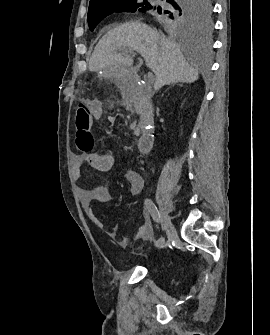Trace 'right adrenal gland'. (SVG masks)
Listing matches in <instances>:
<instances>
[{"label": "right adrenal gland", "mask_w": 270, "mask_h": 335, "mask_svg": "<svg viewBox=\"0 0 270 335\" xmlns=\"http://www.w3.org/2000/svg\"><path fill=\"white\" fill-rule=\"evenodd\" d=\"M173 86H174V84H173ZM177 86H180V84H177Z\"/></svg>", "instance_id": "obj_1"}]
</instances>
